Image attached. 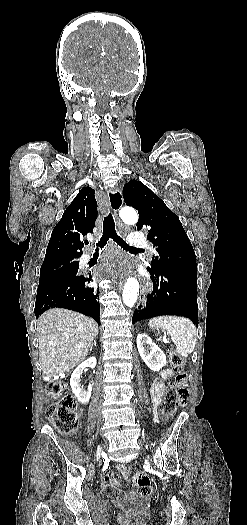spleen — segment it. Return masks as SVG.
Returning <instances> with one entry per match:
<instances>
[{"label":"spleen","instance_id":"1","mask_svg":"<svg viewBox=\"0 0 247 525\" xmlns=\"http://www.w3.org/2000/svg\"><path fill=\"white\" fill-rule=\"evenodd\" d=\"M151 329H161L163 333H169L177 355L188 357L193 353L196 345V327L190 319L185 317H154L150 319Z\"/></svg>","mask_w":247,"mask_h":525}]
</instances>
